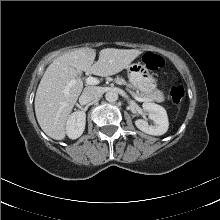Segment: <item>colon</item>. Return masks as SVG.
Returning a JSON list of instances; mask_svg holds the SVG:
<instances>
[{"label": "colon", "instance_id": "obj_1", "mask_svg": "<svg viewBox=\"0 0 220 220\" xmlns=\"http://www.w3.org/2000/svg\"><path fill=\"white\" fill-rule=\"evenodd\" d=\"M145 66L152 70L157 71L165 66L164 58L156 53L147 52L143 56ZM184 97V88L181 84H174L169 91V98L174 105H179Z\"/></svg>", "mask_w": 220, "mask_h": 220}]
</instances>
